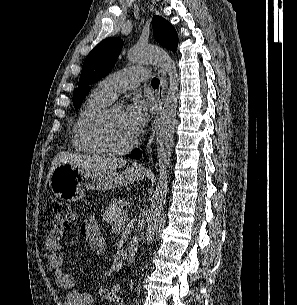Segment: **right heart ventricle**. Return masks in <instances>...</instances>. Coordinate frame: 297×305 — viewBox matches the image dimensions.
Returning a JSON list of instances; mask_svg holds the SVG:
<instances>
[{"label":"right heart ventricle","instance_id":"e07e8e85","mask_svg":"<svg viewBox=\"0 0 297 305\" xmlns=\"http://www.w3.org/2000/svg\"><path fill=\"white\" fill-rule=\"evenodd\" d=\"M105 94L96 87L86 98L79 109L72 128V145L74 149L91 154L102 153L87 136L86 125L89 119L111 103Z\"/></svg>","mask_w":297,"mask_h":305}]
</instances>
